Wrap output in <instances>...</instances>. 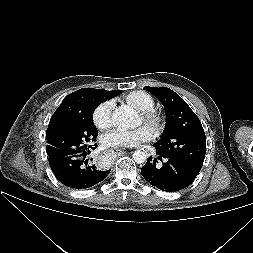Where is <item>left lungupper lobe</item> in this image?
<instances>
[{"instance_id": "5c2ea615", "label": "left lung upper lobe", "mask_w": 253, "mask_h": 253, "mask_svg": "<svg viewBox=\"0 0 253 253\" xmlns=\"http://www.w3.org/2000/svg\"><path fill=\"white\" fill-rule=\"evenodd\" d=\"M163 104L166 126L161 139L154 144L156 153L171 157L199 173L206 153V138L202 124L189 105L166 87H144Z\"/></svg>"}]
</instances>
